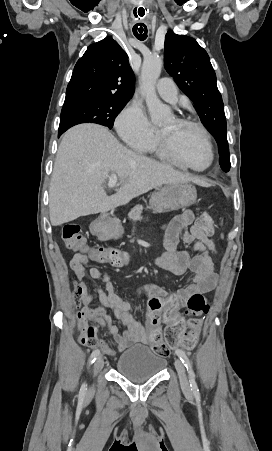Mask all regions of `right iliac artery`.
<instances>
[{
    "instance_id": "right-iliac-artery-1",
    "label": "right iliac artery",
    "mask_w": 272,
    "mask_h": 451,
    "mask_svg": "<svg viewBox=\"0 0 272 451\" xmlns=\"http://www.w3.org/2000/svg\"><path fill=\"white\" fill-rule=\"evenodd\" d=\"M99 354H100V351H99V350H94V351L92 352V354H91L90 362H91V363H94V361L97 359V357L99 356ZM86 390H87V385H86V383H83L82 386H81V388H80V391H79V399H80V400H83V399H84V397H85V395H86Z\"/></svg>"
}]
</instances>
